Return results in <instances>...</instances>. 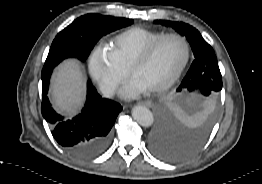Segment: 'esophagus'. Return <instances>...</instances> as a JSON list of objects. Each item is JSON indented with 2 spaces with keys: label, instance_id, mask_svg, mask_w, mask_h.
I'll list each match as a JSON object with an SVG mask.
<instances>
[{
  "label": "esophagus",
  "instance_id": "1",
  "mask_svg": "<svg viewBox=\"0 0 262 184\" xmlns=\"http://www.w3.org/2000/svg\"><path fill=\"white\" fill-rule=\"evenodd\" d=\"M141 105H145L147 107H153L154 103L152 100H144L140 102Z\"/></svg>",
  "mask_w": 262,
  "mask_h": 184
}]
</instances>
